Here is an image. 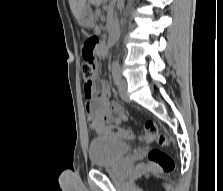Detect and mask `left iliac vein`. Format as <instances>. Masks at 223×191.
I'll list each match as a JSON object with an SVG mask.
<instances>
[{"label": "left iliac vein", "mask_w": 223, "mask_h": 191, "mask_svg": "<svg viewBox=\"0 0 223 191\" xmlns=\"http://www.w3.org/2000/svg\"><path fill=\"white\" fill-rule=\"evenodd\" d=\"M118 91L120 97L126 101L129 102L128 92H127V82L125 80H120L118 85Z\"/></svg>", "instance_id": "obj_1"}]
</instances>
